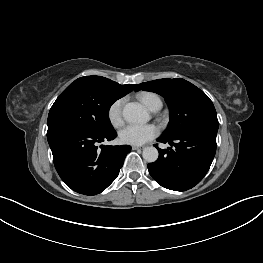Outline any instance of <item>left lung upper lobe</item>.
Segmentation results:
<instances>
[{"label":"left lung upper lobe","mask_w":263,"mask_h":263,"mask_svg":"<svg viewBox=\"0 0 263 263\" xmlns=\"http://www.w3.org/2000/svg\"><path fill=\"white\" fill-rule=\"evenodd\" d=\"M139 90L160 94L169 107L170 122L162 137L174 138L190 131H218L212 101L192 83L180 78H165L141 83L136 88Z\"/></svg>","instance_id":"1"}]
</instances>
